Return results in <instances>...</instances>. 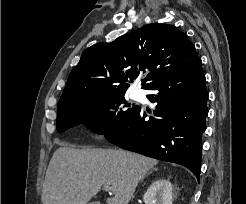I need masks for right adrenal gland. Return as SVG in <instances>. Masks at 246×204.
Segmentation results:
<instances>
[{
  "mask_svg": "<svg viewBox=\"0 0 246 204\" xmlns=\"http://www.w3.org/2000/svg\"><path fill=\"white\" fill-rule=\"evenodd\" d=\"M157 170V168H152V170L148 173V174H150L152 171H156ZM147 174V175H148ZM142 181V180H141Z\"/></svg>",
  "mask_w": 246,
  "mask_h": 204,
  "instance_id": "1",
  "label": "right adrenal gland"
}]
</instances>
